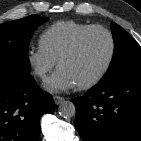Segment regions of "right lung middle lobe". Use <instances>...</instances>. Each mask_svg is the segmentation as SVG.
<instances>
[{
    "mask_svg": "<svg viewBox=\"0 0 141 141\" xmlns=\"http://www.w3.org/2000/svg\"><path fill=\"white\" fill-rule=\"evenodd\" d=\"M47 17L31 15L0 26V76L30 73L28 45Z\"/></svg>",
    "mask_w": 141,
    "mask_h": 141,
    "instance_id": "1",
    "label": "right lung middle lobe"
}]
</instances>
